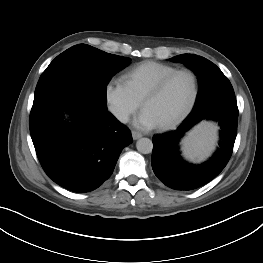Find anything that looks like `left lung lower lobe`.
Returning <instances> with one entry per match:
<instances>
[{
  "label": "left lung lower lobe",
  "mask_w": 263,
  "mask_h": 263,
  "mask_svg": "<svg viewBox=\"0 0 263 263\" xmlns=\"http://www.w3.org/2000/svg\"><path fill=\"white\" fill-rule=\"evenodd\" d=\"M214 120L221 126L219 148L206 162L194 165L184 161L178 142L194 125ZM238 107L235 96L210 99L193 109L173 132L154 136L152 168L155 175L168 187L193 190L214 179L228 163L237 134Z\"/></svg>",
  "instance_id": "1"
}]
</instances>
